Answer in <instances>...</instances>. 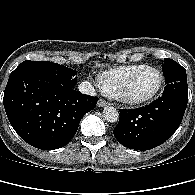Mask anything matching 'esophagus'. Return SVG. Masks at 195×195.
<instances>
[{
  "mask_svg": "<svg viewBox=\"0 0 195 195\" xmlns=\"http://www.w3.org/2000/svg\"><path fill=\"white\" fill-rule=\"evenodd\" d=\"M108 105V102L105 101L103 98H99L98 102H97V106L98 107H105Z\"/></svg>",
  "mask_w": 195,
  "mask_h": 195,
  "instance_id": "1",
  "label": "esophagus"
}]
</instances>
